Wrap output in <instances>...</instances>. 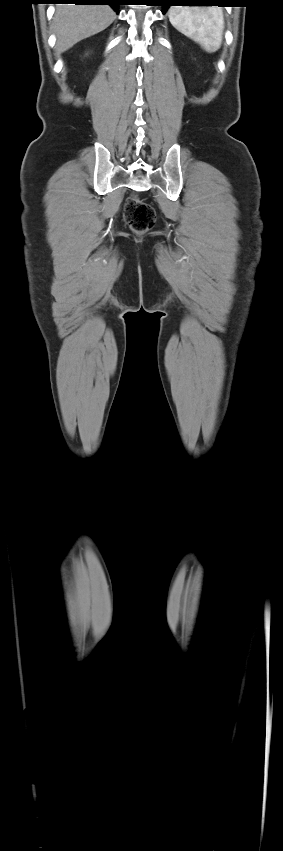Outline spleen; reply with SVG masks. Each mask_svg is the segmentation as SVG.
<instances>
[{"label": "spleen", "mask_w": 283, "mask_h": 851, "mask_svg": "<svg viewBox=\"0 0 283 851\" xmlns=\"http://www.w3.org/2000/svg\"><path fill=\"white\" fill-rule=\"evenodd\" d=\"M171 24L186 37L198 43L208 53L216 52L222 44L224 16L218 7H171Z\"/></svg>", "instance_id": "1"}]
</instances>
